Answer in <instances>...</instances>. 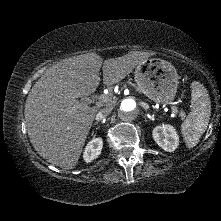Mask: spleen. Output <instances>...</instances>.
<instances>
[{
  "instance_id": "spleen-1",
  "label": "spleen",
  "mask_w": 221,
  "mask_h": 221,
  "mask_svg": "<svg viewBox=\"0 0 221 221\" xmlns=\"http://www.w3.org/2000/svg\"><path fill=\"white\" fill-rule=\"evenodd\" d=\"M191 112L181 125V133L188 148L195 147L205 132L211 113V102L206 88L199 82L191 84Z\"/></svg>"
}]
</instances>
